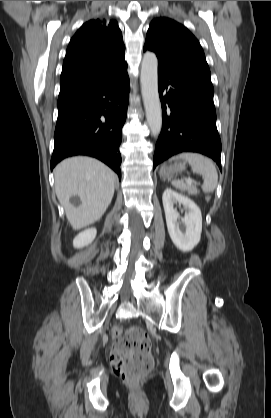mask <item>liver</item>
<instances>
[{
    "instance_id": "obj_1",
    "label": "liver",
    "mask_w": 271,
    "mask_h": 418,
    "mask_svg": "<svg viewBox=\"0 0 271 418\" xmlns=\"http://www.w3.org/2000/svg\"><path fill=\"white\" fill-rule=\"evenodd\" d=\"M55 191L74 230L98 221L106 212L114 195L115 173L102 162L84 156L63 160L54 169ZM80 198L79 207L70 198Z\"/></svg>"
}]
</instances>
